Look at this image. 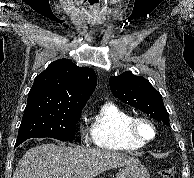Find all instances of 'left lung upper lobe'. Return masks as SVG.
Instances as JSON below:
<instances>
[{"label":"left lung upper lobe","mask_w":194,"mask_h":178,"mask_svg":"<svg viewBox=\"0 0 194 178\" xmlns=\"http://www.w3.org/2000/svg\"><path fill=\"white\" fill-rule=\"evenodd\" d=\"M109 83L116 98L140 109L155 120L170 125L169 114L164 107L162 96L147 79L125 72L120 76L110 77Z\"/></svg>","instance_id":"left-lung-upper-lobe-1"}]
</instances>
